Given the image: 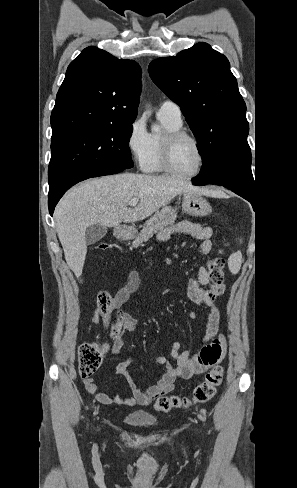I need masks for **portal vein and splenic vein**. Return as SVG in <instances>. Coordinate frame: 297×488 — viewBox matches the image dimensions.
Here are the masks:
<instances>
[{"label":"portal vein and splenic vein","mask_w":297,"mask_h":488,"mask_svg":"<svg viewBox=\"0 0 297 488\" xmlns=\"http://www.w3.org/2000/svg\"><path fill=\"white\" fill-rule=\"evenodd\" d=\"M138 201L139 200L137 198H133L130 200L129 205L130 206H136L138 204Z\"/></svg>","instance_id":"portal-vein-and-splenic-vein-1"}]
</instances>
